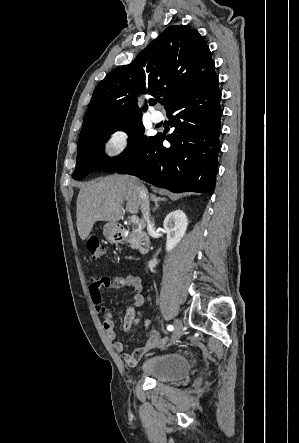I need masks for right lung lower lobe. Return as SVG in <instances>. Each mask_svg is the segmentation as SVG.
I'll return each instance as SVG.
<instances>
[{
    "instance_id": "right-lung-lower-lobe-1",
    "label": "right lung lower lobe",
    "mask_w": 299,
    "mask_h": 443,
    "mask_svg": "<svg viewBox=\"0 0 299 443\" xmlns=\"http://www.w3.org/2000/svg\"><path fill=\"white\" fill-rule=\"evenodd\" d=\"M220 99L215 73L167 110L175 127L166 138L171 146L164 147L161 142L165 136L161 139L162 134H157L136 160L116 172L135 175L175 193L212 194L219 151Z\"/></svg>"
}]
</instances>
